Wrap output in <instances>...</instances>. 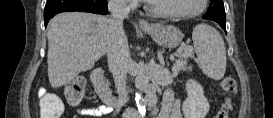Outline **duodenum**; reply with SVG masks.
Returning a JSON list of instances; mask_svg holds the SVG:
<instances>
[{
	"mask_svg": "<svg viewBox=\"0 0 273 118\" xmlns=\"http://www.w3.org/2000/svg\"><path fill=\"white\" fill-rule=\"evenodd\" d=\"M91 80L94 89L98 96L110 107H115L120 104L119 97L113 93L111 87L104 79L102 68H95L91 74Z\"/></svg>",
	"mask_w": 273,
	"mask_h": 118,
	"instance_id": "duodenum-1",
	"label": "duodenum"
}]
</instances>
